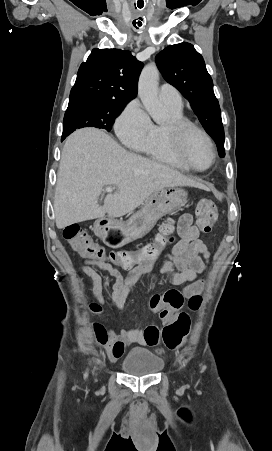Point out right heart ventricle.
Returning <instances> with one entry per match:
<instances>
[{
  "label": "right heart ventricle",
  "instance_id": "right-heart-ventricle-1",
  "mask_svg": "<svg viewBox=\"0 0 272 451\" xmlns=\"http://www.w3.org/2000/svg\"><path fill=\"white\" fill-rule=\"evenodd\" d=\"M160 100L167 107L172 115V118H182L181 111L175 110L161 98ZM167 124L153 125L147 139L141 144L133 146L138 151H141L154 159L171 164H177L172 143L165 140L164 134Z\"/></svg>",
  "mask_w": 272,
  "mask_h": 451
}]
</instances>
